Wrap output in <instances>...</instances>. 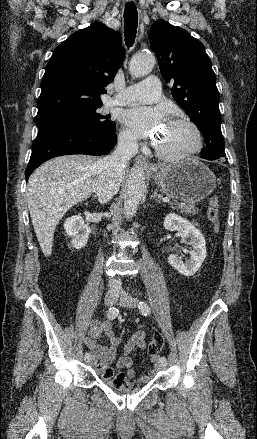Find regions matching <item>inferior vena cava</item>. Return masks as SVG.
<instances>
[{
	"instance_id": "1",
	"label": "inferior vena cava",
	"mask_w": 257,
	"mask_h": 439,
	"mask_svg": "<svg viewBox=\"0 0 257 439\" xmlns=\"http://www.w3.org/2000/svg\"><path fill=\"white\" fill-rule=\"evenodd\" d=\"M138 152L136 140L122 137L118 141L116 150L100 161L101 172L96 192L101 204L107 203L119 190L127 162ZM110 288H120L121 282L116 279L109 280Z\"/></svg>"
}]
</instances>
